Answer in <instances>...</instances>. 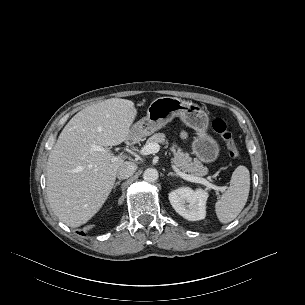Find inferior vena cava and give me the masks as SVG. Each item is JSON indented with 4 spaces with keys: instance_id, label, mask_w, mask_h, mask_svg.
I'll use <instances>...</instances> for the list:
<instances>
[{
    "instance_id": "obj_1",
    "label": "inferior vena cava",
    "mask_w": 305,
    "mask_h": 305,
    "mask_svg": "<svg viewBox=\"0 0 305 305\" xmlns=\"http://www.w3.org/2000/svg\"><path fill=\"white\" fill-rule=\"evenodd\" d=\"M137 169V165L133 162H124L117 170L118 179H127L134 174Z\"/></svg>"
}]
</instances>
